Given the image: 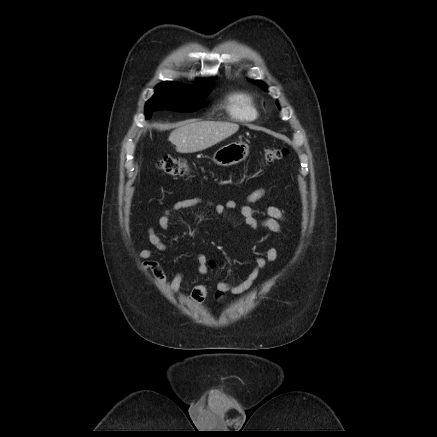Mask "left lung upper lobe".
I'll return each mask as SVG.
<instances>
[{
    "label": "left lung upper lobe",
    "mask_w": 437,
    "mask_h": 437,
    "mask_svg": "<svg viewBox=\"0 0 437 437\" xmlns=\"http://www.w3.org/2000/svg\"><path fill=\"white\" fill-rule=\"evenodd\" d=\"M250 81L261 87L263 90L267 91V86L263 82L257 80H250Z\"/></svg>",
    "instance_id": "left-lung-upper-lobe-1"
}]
</instances>
